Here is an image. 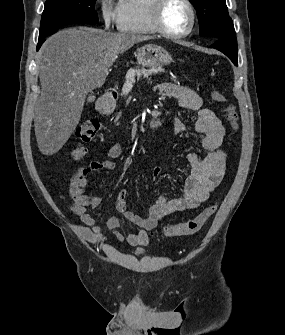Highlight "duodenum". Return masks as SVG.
<instances>
[{"instance_id": "1", "label": "duodenum", "mask_w": 285, "mask_h": 335, "mask_svg": "<svg viewBox=\"0 0 285 335\" xmlns=\"http://www.w3.org/2000/svg\"><path fill=\"white\" fill-rule=\"evenodd\" d=\"M116 92L109 91L106 96L100 101L99 107L102 112L108 111L116 99ZM162 124V118L160 116H155L149 121L150 126H160Z\"/></svg>"}]
</instances>
